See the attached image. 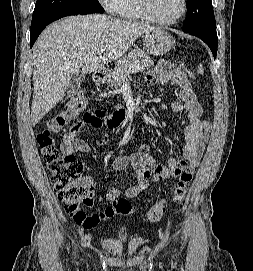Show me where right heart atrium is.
Returning a JSON list of instances; mask_svg holds the SVG:
<instances>
[{"label": "right heart atrium", "mask_w": 253, "mask_h": 271, "mask_svg": "<svg viewBox=\"0 0 253 271\" xmlns=\"http://www.w3.org/2000/svg\"><path fill=\"white\" fill-rule=\"evenodd\" d=\"M104 8L113 14L119 13L123 0H99Z\"/></svg>", "instance_id": "d8ad5b80"}]
</instances>
